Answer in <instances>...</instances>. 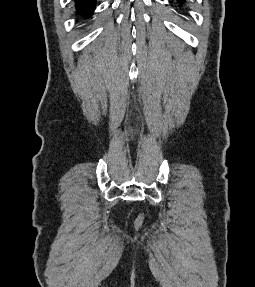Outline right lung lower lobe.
Returning a JSON list of instances; mask_svg holds the SVG:
<instances>
[{
  "label": "right lung lower lobe",
  "instance_id": "1",
  "mask_svg": "<svg viewBox=\"0 0 255 287\" xmlns=\"http://www.w3.org/2000/svg\"><path fill=\"white\" fill-rule=\"evenodd\" d=\"M75 1L78 13L84 18H89L95 8L96 0H75Z\"/></svg>",
  "mask_w": 255,
  "mask_h": 287
}]
</instances>
